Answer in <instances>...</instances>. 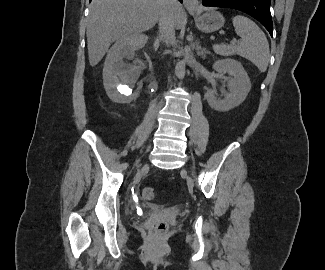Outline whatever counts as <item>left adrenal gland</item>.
<instances>
[{
  "label": "left adrenal gland",
  "mask_w": 325,
  "mask_h": 270,
  "mask_svg": "<svg viewBox=\"0 0 325 270\" xmlns=\"http://www.w3.org/2000/svg\"><path fill=\"white\" fill-rule=\"evenodd\" d=\"M196 52H197L198 56H201L203 58L206 56V54H210L209 51H207L205 48L201 47L199 42H197V44H196Z\"/></svg>",
  "instance_id": "a2214340"
}]
</instances>
